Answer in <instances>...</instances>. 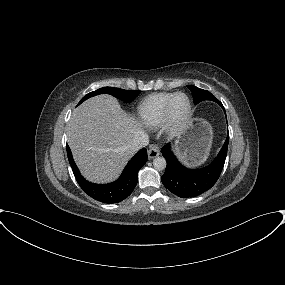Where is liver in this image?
I'll return each instance as SVG.
<instances>
[{
  "instance_id": "liver-1",
  "label": "liver",
  "mask_w": 285,
  "mask_h": 285,
  "mask_svg": "<svg viewBox=\"0 0 285 285\" xmlns=\"http://www.w3.org/2000/svg\"><path fill=\"white\" fill-rule=\"evenodd\" d=\"M141 123L123 111L114 97H92L72 112L67 142L83 176L107 183L119 176L133 156L129 147Z\"/></svg>"
}]
</instances>
